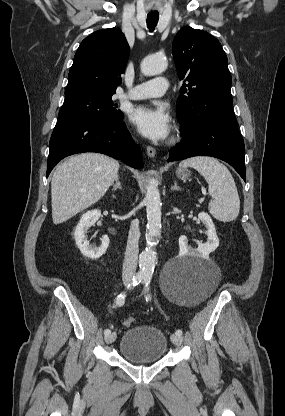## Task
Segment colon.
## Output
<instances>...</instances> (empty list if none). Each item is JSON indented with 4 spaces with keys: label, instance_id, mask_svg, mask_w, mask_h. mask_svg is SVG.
Wrapping results in <instances>:
<instances>
[{
    "label": "colon",
    "instance_id": "1",
    "mask_svg": "<svg viewBox=\"0 0 285 416\" xmlns=\"http://www.w3.org/2000/svg\"><path fill=\"white\" fill-rule=\"evenodd\" d=\"M134 322H135L134 318L129 317V318H126V319L123 321V325H124L125 327H130V326H132V325L134 324Z\"/></svg>",
    "mask_w": 285,
    "mask_h": 416
}]
</instances>
